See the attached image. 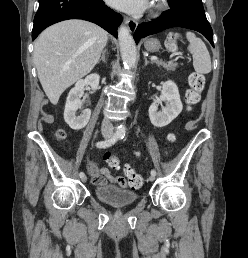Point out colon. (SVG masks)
<instances>
[{"instance_id": "colon-1", "label": "colon", "mask_w": 248, "mask_h": 258, "mask_svg": "<svg viewBox=\"0 0 248 258\" xmlns=\"http://www.w3.org/2000/svg\"><path fill=\"white\" fill-rule=\"evenodd\" d=\"M167 48L172 51L176 52L178 49V42L175 36H171L166 42ZM189 88L186 90L185 93V103L187 108L190 110L193 106H195L201 99V94L205 86V78L203 74L199 72H192L189 75ZM57 136L59 138L65 137V132L59 130L57 132ZM170 141L174 140L173 135L169 137ZM118 148L117 146L115 147ZM105 159L108 165L111 167L112 170H119L120 169V160L116 154H106ZM89 165L92 163L89 162ZM122 168H125V172L127 177L129 178L130 185L134 188H139L143 183V177L137 174L134 169V161L128 159L127 161H122Z\"/></svg>"}]
</instances>
